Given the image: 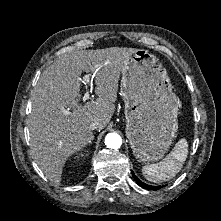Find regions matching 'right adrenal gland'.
Listing matches in <instances>:
<instances>
[{"label": "right adrenal gland", "mask_w": 221, "mask_h": 221, "mask_svg": "<svg viewBox=\"0 0 221 221\" xmlns=\"http://www.w3.org/2000/svg\"><path fill=\"white\" fill-rule=\"evenodd\" d=\"M93 138H94V135H93L92 139L88 142V145H91Z\"/></svg>", "instance_id": "right-adrenal-gland-1"}]
</instances>
